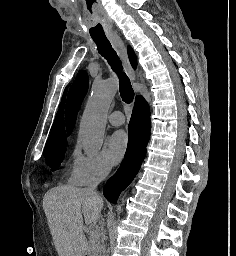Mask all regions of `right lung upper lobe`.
I'll use <instances>...</instances> for the list:
<instances>
[{
  "instance_id": "1",
  "label": "right lung upper lobe",
  "mask_w": 236,
  "mask_h": 256,
  "mask_svg": "<svg viewBox=\"0 0 236 256\" xmlns=\"http://www.w3.org/2000/svg\"><path fill=\"white\" fill-rule=\"evenodd\" d=\"M128 55H129V59H130V62L132 64L133 68H136V65H137L136 56H135V53L132 50V48L129 46H128ZM66 91H67V89H65V91H64L62 101L59 106V110L57 112L55 121L53 123L52 130H51V134H50L47 142L59 141V140L66 138L65 129H64V119H63V110H64Z\"/></svg>"
}]
</instances>
